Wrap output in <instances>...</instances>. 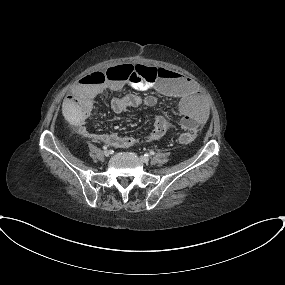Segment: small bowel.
<instances>
[{
    "label": "small bowel",
    "instance_id": "small-bowel-1",
    "mask_svg": "<svg viewBox=\"0 0 285 285\" xmlns=\"http://www.w3.org/2000/svg\"><path fill=\"white\" fill-rule=\"evenodd\" d=\"M120 66L122 65L111 68ZM128 85H133L143 91L155 90L159 94L177 101L178 109L182 114L181 127L187 133H196L207 120L205 102L197 93L193 81L178 71L166 69L159 70V79L151 83L145 80L141 83H135L121 78L108 79L103 84H92L80 80L74 87L72 94L63 100L62 111L66 120L76 126L82 135L94 141L105 142L114 148H126L161 138L170 129L169 121L162 115L154 116L153 130L143 136L95 134L90 133L84 126L92 111L94 98L107 90L120 91ZM156 103L157 98L152 94L143 96L128 94L113 99L112 109L120 113L126 108L152 107Z\"/></svg>",
    "mask_w": 285,
    "mask_h": 285
}]
</instances>
